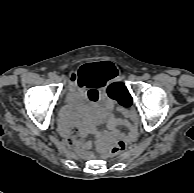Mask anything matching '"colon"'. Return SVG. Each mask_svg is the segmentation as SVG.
<instances>
[{
    "label": "colon",
    "mask_w": 194,
    "mask_h": 193,
    "mask_svg": "<svg viewBox=\"0 0 194 193\" xmlns=\"http://www.w3.org/2000/svg\"><path fill=\"white\" fill-rule=\"evenodd\" d=\"M70 80H71V82L76 83L78 78L76 75L73 74L70 76ZM118 89H119L118 83L111 84L107 89L108 95L111 96L112 98L117 99L118 98V95H117ZM125 147H126V145H125L124 141L121 139H117V138L110 139L107 143L108 151L111 154H120L121 152L124 151Z\"/></svg>",
    "instance_id": "5ec220e1"
}]
</instances>
